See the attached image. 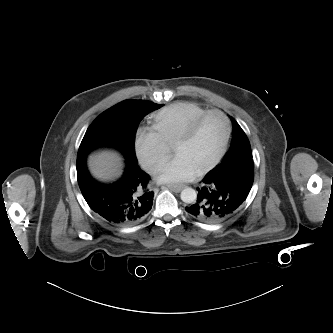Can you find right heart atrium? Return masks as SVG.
<instances>
[{"label":"right heart atrium","instance_id":"right-heart-atrium-1","mask_svg":"<svg viewBox=\"0 0 333 333\" xmlns=\"http://www.w3.org/2000/svg\"><path fill=\"white\" fill-rule=\"evenodd\" d=\"M135 151L141 164L153 173L165 160L168 144L153 128H140L136 133Z\"/></svg>","mask_w":333,"mask_h":333}]
</instances>
